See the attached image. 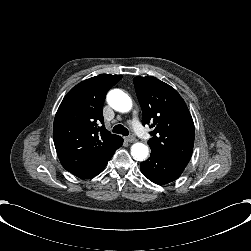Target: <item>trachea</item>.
<instances>
[{
	"label": "trachea",
	"instance_id": "3493384b",
	"mask_svg": "<svg viewBox=\"0 0 251 251\" xmlns=\"http://www.w3.org/2000/svg\"><path fill=\"white\" fill-rule=\"evenodd\" d=\"M113 132L121 134L123 136H128L129 135L128 129L126 127H124L123 125H120V124L114 126Z\"/></svg>",
	"mask_w": 251,
	"mask_h": 251
}]
</instances>
